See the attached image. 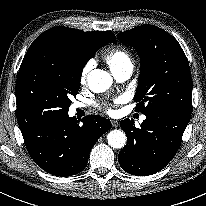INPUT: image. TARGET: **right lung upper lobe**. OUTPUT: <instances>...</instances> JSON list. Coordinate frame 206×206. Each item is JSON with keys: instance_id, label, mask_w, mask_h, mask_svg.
Wrapping results in <instances>:
<instances>
[{"instance_id": "cb5924a9", "label": "right lung upper lobe", "mask_w": 206, "mask_h": 206, "mask_svg": "<svg viewBox=\"0 0 206 206\" xmlns=\"http://www.w3.org/2000/svg\"><path fill=\"white\" fill-rule=\"evenodd\" d=\"M54 38L79 47L89 60L96 51L109 42L116 43L115 35L110 31L84 32L67 27H55L42 33L36 40Z\"/></svg>"}]
</instances>
